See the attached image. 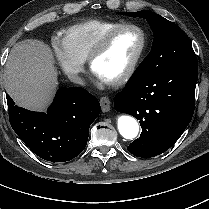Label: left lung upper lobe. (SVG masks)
Returning <instances> with one entry per match:
<instances>
[{
  "label": "left lung upper lobe",
  "instance_id": "5c2ea615",
  "mask_svg": "<svg viewBox=\"0 0 209 209\" xmlns=\"http://www.w3.org/2000/svg\"><path fill=\"white\" fill-rule=\"evenodd\" d=\"M121 14L146 19L154 34L151 51L136 70L157 75L196 60L191 44L175 23L147 10Z\"/></svg>",
  "mask_w": 209,
  "mask_h": 209
}]
</instances>
